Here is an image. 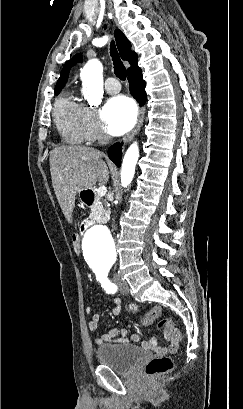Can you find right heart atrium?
Wrapping results in <instances>:
<instances>
[{
    "label": "right heart atrium",
    "instance_id": "obj_1",
    "mask_svg": "<svg viewBox=\"0 0 243 409\" xmlns=\"http://www.w3.org/2000/svg\"><path fill=\"white\" fill-rule=\"evenodd\" d=\"M79 125L84 141L94 143L106 139L96 112L84 104H80Z\"/></svg>",
    "mask_w": 243,
    "mask_h": 409
}]
</instances>
